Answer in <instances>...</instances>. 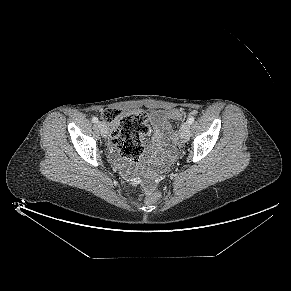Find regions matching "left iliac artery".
<instances>
[{
    "label": "left iliac artery",
    "mask_w": 291,
    "mask_h": 291,
    "mask_svg": "<svg viewBox=\"0 0 291 291\" xmlns=\"http://www.w3.org/2000/svg\"><path fill=\"white\" fill-rule=\"evenodd\" d=\"M195 118L193 116L188 118V123L192 124L194 122Z\"/></svg>",
    "instance_id": "left-iliac-artery-1"
}]
</instances>
